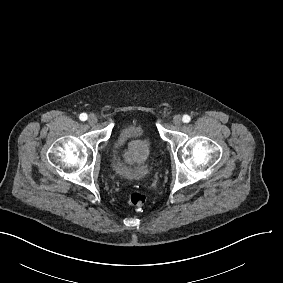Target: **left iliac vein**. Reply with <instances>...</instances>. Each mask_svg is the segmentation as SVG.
Here are the masks:
<instances>
[{"label":"left iliac vein","mask_w":283,"mask_h":283,"mask_svg":"<svg viewBox=\"0 0 283 283\" xmlns=\"http://www.w3.org/2000/svg\"><path fill=\"white\" fill-rule=\"evenodd\" d=\"M173 123H174V125H176V126H180L181 123H182V117H181L180 115H175V116L173 117Z\"/></svg>","instance_id":"left-iliac-vein-1"}]
</instances>
